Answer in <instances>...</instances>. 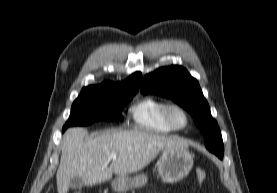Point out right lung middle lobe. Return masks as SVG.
I'll return each mask as SVG.
<instances>
[{"mask_svg": "<svg viewBox=\"0 0 277 193\" xmlns=\"http://www.w3.org/2000/svg\"><path fill=\"white\" fill-rule=\"evenodd\" d=\"M136 92L129 93H103L82 90L74 101L71 114L64 125L86 126L95 121H112L118 117L124 106L133 98Z\"/></svg>", "mask_w": 277, "mask_h": 193, "instance_id": "dd1d6c3e", "label": "right lung middle lobe"}]
</instances>
